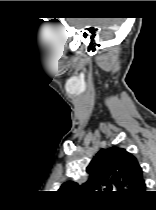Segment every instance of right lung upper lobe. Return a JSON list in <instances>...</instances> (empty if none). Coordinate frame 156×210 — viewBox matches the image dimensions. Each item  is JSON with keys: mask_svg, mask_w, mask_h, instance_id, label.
I'll return each instance as SVG.
<instances>
[{"mask_svg": "<svg viewBox=\"0 0 156 210\" xmlns=\"http://www.w3.org/2000/svg\"><path fill=\"white\" fill-rule=\"evenodd\" d=\"M85 182H65L60 190L77 192L88 199L132 200L145 191L137 159L123 148L102 149L86 168Z\"/></svg>", "mask_w": 156, "mask_h": 210, "instance_id": "right-lung-upper-lobe-1", "label": "right lung upper lobe"}]
</instances>
